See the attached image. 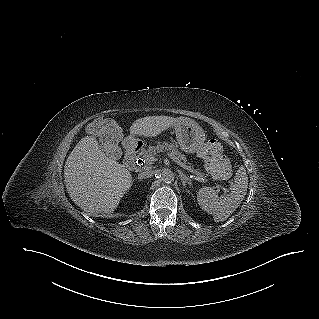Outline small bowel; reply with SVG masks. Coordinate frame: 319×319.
I'll return each mask as SVG.
<instances>
[{
  "label": "small bowel",
  "mask_w": 319,
  "mask_h": 319,
  "mask_svg": "<svg viewBox=\"0 0 319 319\" xmlns=\"http://www.w3.org/2000/svg\"><path fill=\"white\" fill-rule=\"evenodd\" d=\"M199 155H200L201 157H204V155L202 154V150L200 151Z\"/></svg>",
  "instance_id": "1"
}]
</instances>
